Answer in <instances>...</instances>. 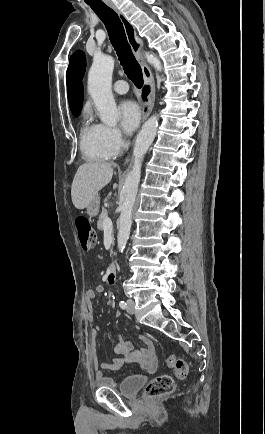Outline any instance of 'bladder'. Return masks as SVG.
I'll return each mask as SVG.
<instances>
[{
    "label": "bladder",
    "mask_w": 265,
    "mask_h": 434,
    "mask_svg": "<svg viewBox=\"0 0 265 434\" xmlns=\"http://www.w3.org/2000/svg\"><path fill=\"white\" fill-rule=\"evenodd\" d=\"M145 384V378L138 375L126 377L119 385L118 393L126 398H134Z\"/></svg>",
    "instance_id": "31cf9c89"
}]
</instances>
